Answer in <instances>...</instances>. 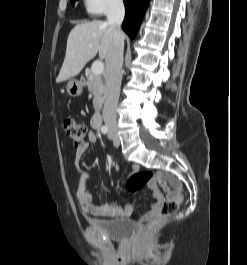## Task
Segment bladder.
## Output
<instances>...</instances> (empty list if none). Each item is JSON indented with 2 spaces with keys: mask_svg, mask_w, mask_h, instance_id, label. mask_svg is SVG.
Returning <instances> with one entry per match:
<instances>
[{
  "mask_svg": "<svg viewBox=\"0 0 247 265\" xmlns=\"http://www.w3.org/2000/svg\"><path fill=\"white\" fill-rule=\"evenodd\" d=\"M88 224L115 241L128 240L135 230L134 222L125 218L89 219Z\"/></svg>",
  "mask_w": 247,
  "mask_h": 265,
  "instance_id": "obj_1",
  "label": "bladder"
}]
</instances>
